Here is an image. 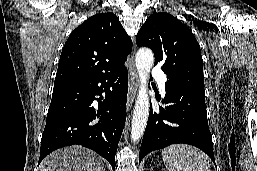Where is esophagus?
Listing matches in <instances>:
<instances>
[{"instance_id":"esophagus-1","label":"esophagus","mask_w":257,"mask_h":171,"mask_svg":"<svg viewBox=\"0 0 257 171\" xmlns=\"http://www.w3.org/2000/svg\"><path fill=\"white\" fill-rule=\"evenodd\" d=\"M131 60L133 61V55L131 56ZM138 90V75L136 72V69L134 67V64L129 69V90H128V96H127V111L130 110L132 103L134 102V99L136 97Z\"/></svg>"}]
</instances>
